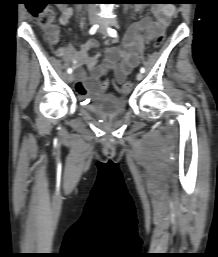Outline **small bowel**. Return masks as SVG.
Wrapping results in <instances>:
<instances>
[{
    "label": "small bowel",
    "instance_id": "small-bowel-1",
    "mask_svg": "<svg viewBox=\"0 0 218 257\" xmlns=\"http://www.w3.org/2000/svg\"><path fill=\"white\" fill-rule=\"evenodd\" d=\"M136 8L135 11H138ZM74 10L72 7H64L61 10L59 22L66 25L72 17ZM154 17L145 16L127 34L123 47H107L106 57L99 63L100 54L95 52L90 55L91 50L98 47V41L89 39L77 51H73L69 59L76 71V88L80 95L89 93L103 94L100 90L101 79L110 71H113L115 82L123 84L128 74L138 65V49L142 42L149 43L158 38L159 30H166L174 14L172 5H163L153 8ZM58 53H64L60 49ZM87 66L89 73L82 67ZM116 98H121L123 89Z\"/></svg>",
    "mask_w": 218,
    "mask_h": 257
}]
</instances>
